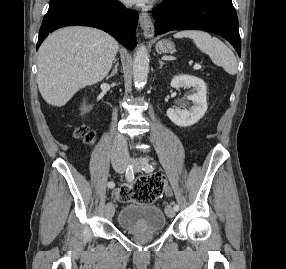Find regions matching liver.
Returning a JSON list of instances; mask_svg holds the SVG:
<instances>
[{
    "label": "liver",
    "instance_id": "6515ba94",
    "mask_svg": "<svg viewBox=\"0 0 286 269\" xmlns=\"http://www.w3.org/2000/svg\"><path fill=\"white\" fill-rule=\"evenodd\" d=\"M118 42L91 27H65L47 37L38 51L37 83L43 99L64 106L80 89L109 73Z\"/></svg>",
    "mask_w": 286,
    "mask_h": 269
}]
</instances>
